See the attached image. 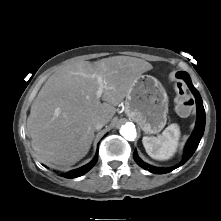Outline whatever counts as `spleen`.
I'll list each match as a JSON object with an SVG mask.
<instances>
[{
  "mask_svg": "<svg viewBox=\"0 0 221 221\" xmlns=\"http://www.w3.org/2000/svg\"><path fill=\"white\" fill-rule=\"evenodd\" d=\"M179 138L180 128L178 124H171L157 137L144 136L142 143L151 158L168 160L175 154Z\"/></svg>",
  "mask_w": 221,
  "mask_h": 221,
  "instance_id": "obj_1",
  "label": "spleen"
}]
</instances>
